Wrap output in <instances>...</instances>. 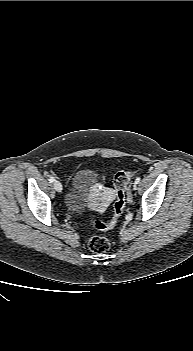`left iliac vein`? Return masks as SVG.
I'll return each instance as SVG.
<instances>
[{"label": "left iliac vein", "mask_w": 193, "mask_h": 351, "mask_svg": "<svg viewBox=\"0 0 193 351\" xmlns=\"http://www.w3.org/2000/svg\"><path fill=\"white\" fill-rule=\"evenodd\" d=\"M137 188V183H133V189H136Z\"/></svg>", "instance_id": "left-iliac-vein-1"}]
</instances>
